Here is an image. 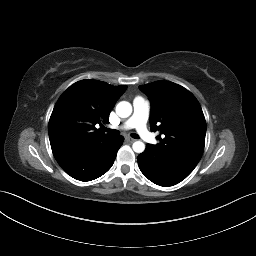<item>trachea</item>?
I'll list each match as a JSON object with an SVG mask.
<instances>
[{"mask_svg":"<svg viewBox=\"0 0 256 256\" xmlns=\"http://www.w3.org/2000/svg\"><path fill=\"white\" fill-rule=\"evenodd\" d=\"M104 131L108 132L109 134L111 135H118L119 134V131L118 130H114V129H108V128H103ZM131 136L134 138V139H138L139 136L135 133H132Z\"/></svg>","mask_w":256,"mask_h":256,"instance_id":"1","label":"trachea"}]
</instances>
